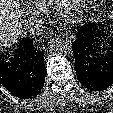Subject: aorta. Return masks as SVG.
Instances as JSON below:
<instances>
[{"label":"aorta","instance_id":"762f6f07","mask_svg":"<svg viewBox=\"0 0 113 113\" xmlns=\"http://www.w3.org/2000/svg\"><path fill=\"white\" fill-rule=\"evenodd\" d=\"M51 49L61 56H70L73 53L71 41L67 37H60L52 41Z\"/></svg>","mask_w":113,"mask_h":113}]
</instances>
